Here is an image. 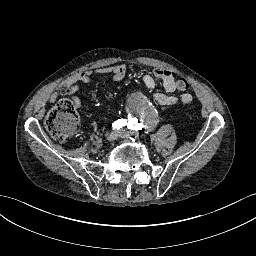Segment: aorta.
<instances>
[{"label": "aorta", "instance_id": "obj_1", "mask_svg": "<svg viewBox=\"0 0 256 256\" xmlns=\"http://www.w3.org/2000/svg\"><path fill=\"white\" fill-rule=\"evenodd\" d=\"M129 112L135 116H142V126L147 131H154L159 126L160 111L150 106L148 97L142 93L131 95L127 101Z\"/></svg>", "mask_w": 256, "mask_h": 256}]
</instances>
